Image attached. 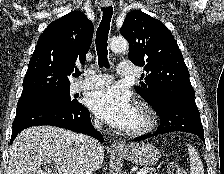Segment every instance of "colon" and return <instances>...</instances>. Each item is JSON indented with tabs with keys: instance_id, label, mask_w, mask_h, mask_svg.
Returning a JSON list of instances; mask_svg holds the SVG:
<instances>
[{
	"instance_id": "5ec220e1",
	"label": "colon",
	"mask_w": 224,
	"mask_h": 174,
	"mask_svg": "<svg viewBox=\"0 0 224 174\" xmlns=\"http://www.w3.org/2000/svg\"><path fill=\"white\" fill-rule=\"evenodd\" d=\"M169 174H186L185 170L177 164H171L168 167Z\"/></svg>"
}]
</instances>
